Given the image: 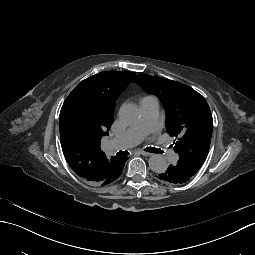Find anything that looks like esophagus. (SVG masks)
<instances>
[{
  "instance_id": "34e87169",
  "label": "esophagus",
  "mask_w": 255,
  "mask_h": 255,
  "mask_svg": "<svg viewBox=\"0 0 255 255\" xmlns=\"http://www.w3.org/2000/svg\"><path fill=\"white\" fill-rule=\"evenodd\" d=\"M140 153H141V155H143V156H151V155H152V153H150V152H145V151H141Z\"/></svg>"
}]
</instances>
